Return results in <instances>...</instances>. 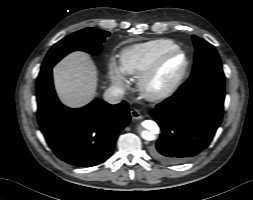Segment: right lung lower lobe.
Instances as JSON below:
<instances>
[{
	"label": "right lung lower lobe",
	"mask_w": 253,
	"mask_h": 200,
	"mask_svg": "<svg viewBox=\"0 0 253 200\" xmlns=\"http://www.w3.org/2000/svg\"><path fill=\"white\" fill-rule=\"evenodd\" d=\"M38 123L55 155L69 164L91 167L112 155L120 131L130 122L126 102L110 105L100 99L79 109L58 100L52 67L41 69L37 82Z\"/></svg>",
	"instance_id": "1"
}]
</instances>
